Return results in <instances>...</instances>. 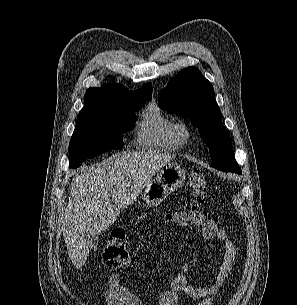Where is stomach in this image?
Instances as JSON below:
<instances>
[{"instance_id": "1", "label": "stomach", "mask_w": 297, "mask_h": 305, "mask_svg": "<svg viewBox=\"0 0 297 305\" xmlns=\"http://www.w3.org/2000/svg\"><path fill=\"white\" fill-rule=\"evenodd\" d=\"M185 176V169L176 162H169L159 169L156 177L145 186L144 200L147 206H157L162 203L171 192L181 188Z\"/></svg>"}]
</instances>
